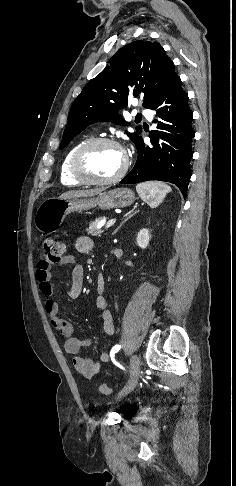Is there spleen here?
Returning <instances> with one entry per match:
<instances>
[{
  "label": "spleen",
  "instance_id": "3e777b00",
  "mask_svg": "<svg viewBox=\"0 0 236 486\" xmlns=\"http://www.w3.org/2000/svg\"><path fill=\"white\" fill-rule=\"evenodd\" d=\"M136 191L140 198L150 207H157L167 193L171 192V187L163 182L148 181L136 185Z\"/></svg>",
  "mask_w": 236,
  "mask_h": 486
}]
</instances>
